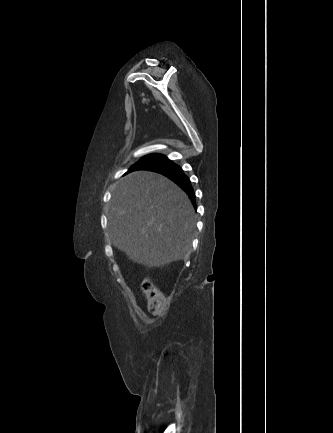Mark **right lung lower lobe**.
<instances>
[{
	"label": "right lung lower lobe",
	"mask_w": 333,
	"mask_h": 433,
	"mask_svg": "<svg viewBox=\"0 0 333 433\" xmlns=\"http://www.w3.org/2000/svg\"><path fill=\"white\" fill-rule=\"evenodd\" d=\"M140 169L152 170L168 177L170 180L179 185L180 188L189 195L191 201L194 203L195 206L194 190L188 177L185 175L184 171L180 168L179 165L175 164L167 157L162 156L159 159L143 164L142 166L133 169L132 171Z\"/></svg>",
	"instance_id": "obj_1"
}]
</instances>
